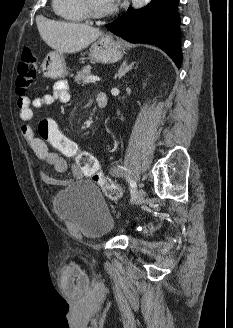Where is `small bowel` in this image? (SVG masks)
Listing matches in <instances>:
<instances>
[{"label": "small bowel", "mask_w": 233, "mask_h": 328, "mask_svg": "<svg viewBox=\"0 0 233 328\" xmlns=\"http://www.w3.org/2000/svg\"><path fill=\"white\" fill-rule=\"evenodd\" d=\"M70 94L67 84L64 81L58 82L51 93L42 97L30 98L21 96L17 99L19 119L22 124L20 127L23 137L28 142L36 157L43 163L53 167L58 173H63L68 169V163L64 157L49 150L47 144L34 136L29 122L33 118V109L46 108L57 102H68ZM74 179L83 177V172L76 165H72ZM41 179L44 183L53 186H66L70 180H59L46 173H41ZM62 287L65 294L69 297H82L89 291V279L84 269L76 262L67 264L62 272Z\"/></svg>", "instance_id": "c3829d8e"}]
</instances>
